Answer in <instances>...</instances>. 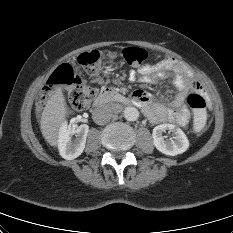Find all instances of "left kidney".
Here are the masks:
<instances>
[{
	"label": "left kidney",
	"instance_id": "left-kidney-1",
	"mask_svg": "<svg viewBox=\"0 0 233 233\" xmlns=\"http://www.w3.org/2000/svg\"><path fill=\"white\" fill-rule=\"evenodd\" d=\"M169 130L173 136L166 139L163 132ZM153 143L158 151L168 156L184 153L189 148V140L185 133L173 124H161L153 129Z\"/></svg>",
	"mask_w": 233,
	"mask_h": 233
}]
</instances>
